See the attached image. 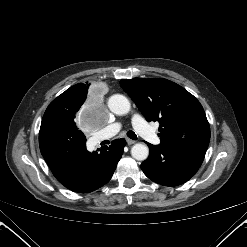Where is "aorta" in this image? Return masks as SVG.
<instances>
[{"instance_id": "762f6f07", "label": "aorta", "mask_w": 247, "mask_h": 247, "mask_svg": "<svg viewBox=\"0 0 247 247\" xmlns=\"http://www.w3.org/2000/svg\"><path fill=\"white\" fill-rule=\"evenodd\" d=\"M108 107L116 115H125L130 111L131 105L124 95L114 94L108 100ZM131 155L138 161H144L149 155V148L145 144L136 143L131 148Z\"/></svg>"}]
</instances>
